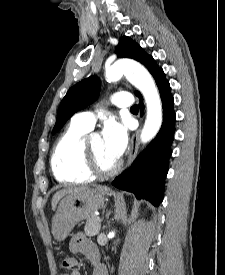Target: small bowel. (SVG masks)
<instances>
[{
	"mask_svg": "<svg viewBox=\"0 0 225 275\" xmlns=\"http://www.w3.org/2000/svg\"><path fill=\"white\" fill-rule=\"evenodd\" d=\"M69 248L72 253L85 255L91 261L93 264L92 275H108L106 266L100 262L97 246L85 234L81 232L74 234L71 237ZM61 275H81V273L75 271Z\"/></svg>",
	"mask_w": 225,
	"mask_h": 275,
	"instance_id": "obj_1",
	"label": "small bowel"
}]
</instances>
